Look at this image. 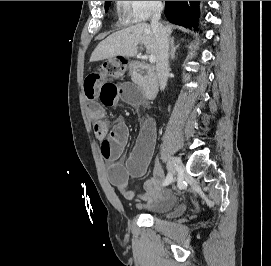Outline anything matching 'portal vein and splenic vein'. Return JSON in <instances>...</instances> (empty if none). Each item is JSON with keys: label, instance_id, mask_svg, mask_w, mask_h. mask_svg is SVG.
Returning <instances> with one entry per match:
<instances>
[{"label": "portal vein and splenic vein", "instance_id": "18ae733b", "mask_svg": "<svg viewBox=\"0 0 271 266\" xmlns=\"http://www.w3.org/2000/svg\"><path fill=\"white\" fill-rule=\"evenodd\" d=\"M155 61H156V57L154 55H150L149 56V62L150 63H155Z\"/></svg>", "mask_w": 271, "mask_h": 266}]
</instances>
